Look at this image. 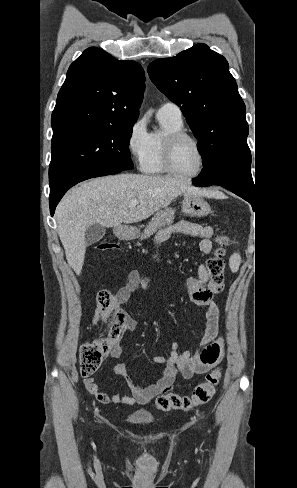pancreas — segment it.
<instances>
[{
    "label": "pancreas",
    "instance_id": "obj_1",
    "mask_svg": "<svg viewBox=\"0 0 297 488\" xmlns=\"http://www.w3.org/2000/svg\"><path fill=\"white\" fill-rule=\"evenodd\" d=\"M174 217H175V209L166 207L163 210H160L148 223L140 239L141 240L147 239L155 232H157V230L160 229L161 227L167 224H172Z\"/></svg>",
    "mask_w": 297,
    "mask_h": 488
}]
</instances>
